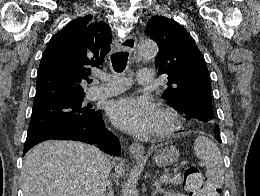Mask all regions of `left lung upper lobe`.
<instances>
[{"label": "left lung upper lobe", "mask_w": 260, "mask_h": 196, "mask_svg": "<svg viewBox=\"0 0 260 196\" xmlns=\"http://www.w3.org/2000/svg\"><path fill=\"white\" fill-rule=\"evenodd\" d=\"M145 33L158 44L155 64L159 74L168 75L169 86L162 95L168 105L189 120L191 109L212 107L208 69L191 35L173 19L159 15L149 20ZM194 121L209 128L216 125V118Z\"/></svg>", "instance_id": "5c2ea615"}]
</instances>
